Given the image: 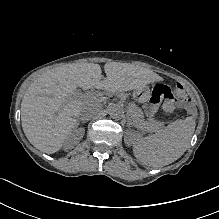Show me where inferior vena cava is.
I'll use <instances>...</instances> for the list:
<instances>
[{
	"label": "inferior vena cava",
	"instance_id": "inferior-vena-cava-1",
	"mask_svg": "<svg viewBox=\"0 0 219 219\" xmlns=\"http://www.w3.org/2000/svg\"><path fill=\"white\" fill-rule=\"evenodd\" d=\"M94 115V109L92 107L86 106L81 109L79 119L89 121L94 118Z\"/></svg>",
	"mask_w": 219,
	"mask_h": 219
}]
</instances>
